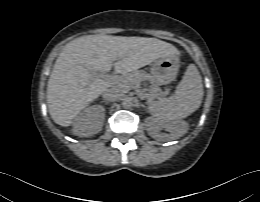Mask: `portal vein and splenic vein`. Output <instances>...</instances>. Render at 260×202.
<instances>
[{"label":"portal vein and splenic vein","instance_id":"portal-vein-and-splenic-vein-1","mask_svg":"<svg viewBox=\"0 0 260 202\" xmlns=\"http://www.w3.org/2000/svg\"><path fill=\"white\" fill-rule=\"evenodd\" d=\"M92 76L95 77V78H104L106 80L113 81L115 83L118 82V78L116 76L109 75V74H100V73L93 71ZM142 97L143 98H149L150 96L148 94H142Z\"/></svg>","mask_w":260,"mask_h":202}]
</instances>
